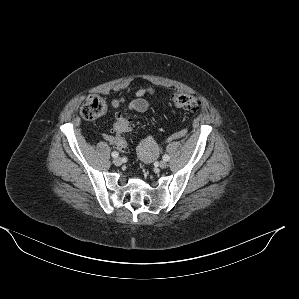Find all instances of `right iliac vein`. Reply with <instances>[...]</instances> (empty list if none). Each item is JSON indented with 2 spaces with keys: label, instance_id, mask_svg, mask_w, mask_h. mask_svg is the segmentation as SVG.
Segmentation results:
<instances>
[{
  "label": "right iliac vein",
  "instance_id": "63e3f726",
  "mask_svg": "<svg viewBox=\"0 0 299 299\" xmlns=\"http://www.w3.org/2000/svg\"><path fill=\"white\" fill-rule=\"evenodd\" d=\"M113 163H114V165H116V166H120V165L122 164V160H121L120 157H115V158L113 159Z\"/></svg>",
  "mask_w": 299,
  "mask_h": 299
}]
</instances>
